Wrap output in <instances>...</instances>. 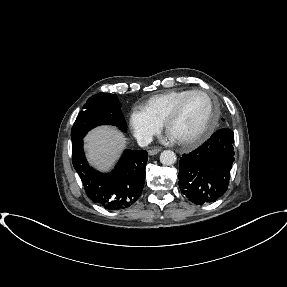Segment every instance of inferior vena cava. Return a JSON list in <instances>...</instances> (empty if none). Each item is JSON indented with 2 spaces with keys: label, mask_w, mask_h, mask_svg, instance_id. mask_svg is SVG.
Instances as JSON below:
<instances>
[{
  "label": "inferior vena cava",
  "mask_w": 287,
  "mask_h": 287,
  "mask_svg": "<svg viewBox=\"0 0 287 287\" xmlns=\"http://www.w3.org/2000/svg\"><path fill=\"white\" fill-rule=\"evenodd\" d=\"M152 142V137L149 135H140L137 137V143L140 147L148 146Z\"/></svg>",
  "instance_id": "1"
}]
</instances>
